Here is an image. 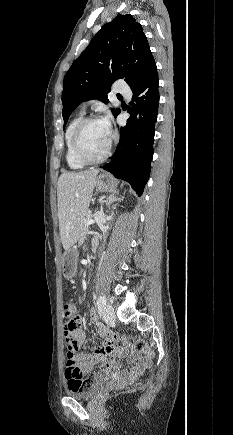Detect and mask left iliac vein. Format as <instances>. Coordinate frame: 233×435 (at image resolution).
<instances>
[{
    "label": "left iliac vein",
    "mask_w": 233,
    "mask_h": 435,
    "mask_svg": "<svg viewBox=\"0 0 233 435\" xmlns=\"http://www.w3.org/2000/svg\"><path fill=\"white\" fill-rule=\"evenodd\" d=\"M102 318L106 323L115 321V312L110 304H106L102 309Z\"/></svg>",
    "instance_id": "left-iliac-vein-1"
}]
</instances>
